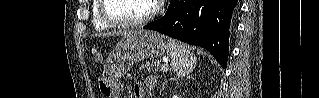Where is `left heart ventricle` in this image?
Instances as JSON below:
<instances>
[{
	"label": "left heart ventricle",
	"instance_id": "1",
	"mask_svg": "<svg viewBox=\"0 0 319 98\" xmlns=\"http://www.w3.org/2000/svg\"><path fill=\"white\" fill-rule=\"evenodd\" d=\"M151 6V0H108L105 10L112 18L132 21L144 17Z\"/></svg>",
	"mask_w": 319,
	"mask_h": 98
}]
</instances>
